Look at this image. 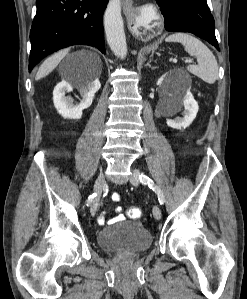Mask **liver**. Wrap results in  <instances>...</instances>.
Here are the masks:
<instances>
[{
  "mask_svg": "<svg viewBox=\"0 0 247 299\" xmlns=\"http://www.w3.org/2000/svg\"><path fill=\"white\" fill-rule=\"evenodd\" d=\"M68 52L69 49H63L48 57L39 67L36 74V80H39L50 74L57 67L60 61L68 54ZM91 54L97 59L98 63L100 64V58L95 53Z\"/></svg>",
  "mask_w": 247,
  "mask_h": 299,
  "instance_id": "6515ba94",
  "label": "liver"
}]
</instances>
